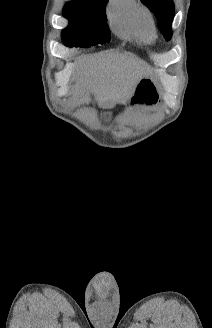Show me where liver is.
Here are the masks:
<instances>
[{"label": "liver", "instance_id": "6515ba94", "mask_svg": "<svg viewBox=\"0 0 212 328\" xmlns=\"http://www.w3.org/2000/svg\"><path fill=\"white\" fill-rule=\"evenodd\" d=\"M99 66L91 81L92 92L99 101H123L136 83L132 70L137 61L129 53L102 52L98 55ZM89 74V66L81 67L74 75L77 88Z\"/></svg>", "mask_w": 212, "mask_h": 328}]
</instances>
